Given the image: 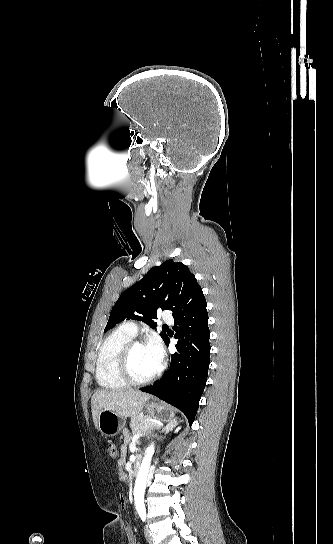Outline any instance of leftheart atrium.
<instances>
[{
	"mask_svg": "<svg viewBox=\"0 0 333 544\" xmlns=\"http://www.w3.org/2000/svg\"><path fill=\"white\" fill-rule=\"evenodd\" d=\"M148 348L151 351L155 362L160 366L164 357V352L162 345L159 341H153L150 344H148Z\"/></svg>",
	"mask_w": 333,
	"mask_h": 544,
	"instance_id": "1",
	"label": "left heart atrium"
}]
</instances>
